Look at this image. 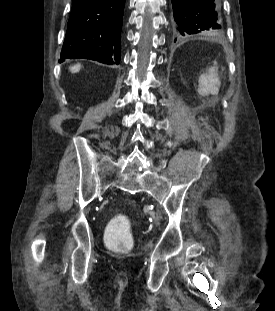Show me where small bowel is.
<instances>
[{"mask_svg": "<svg viewBox=\"0 0 275 311\" xmlns=\"http://www.w3.org/2000/svg\"><path fill=\"white\" fill-rule=\"evenodd\" d=\"M214 63H221V56L213 57ZM223 64H212L211 69H207V73H200L197 80V93H199L200 98H207L208 102L212 101V98H217L220 91L219 79L223 75Z\"/></svg>", "mask_w": 275, "mask_h": 311, "instance_id": "1", "label": "small bowel"}]
</instances>
